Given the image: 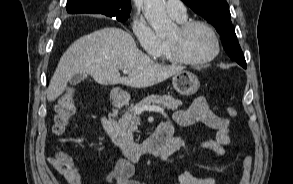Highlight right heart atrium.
<instances>
[{
  "label": "right heart atrium",
  "mask_w": 293,
  "mask_h": 184,
  "mask_svg": "<svg viewBox=\"0 0 293 184\" xmlns=\"http://www.w3.org/2000/svg\"><path fill=\"white\" fill-rule=\"evenodd\" d=\"M132 31L140 47L149 56L153 58L159 56L163 47V40L156 35L144 18H134L132 22Z\"/></svg>",
  "instance_id": "obj_1"
}]
</instances>
